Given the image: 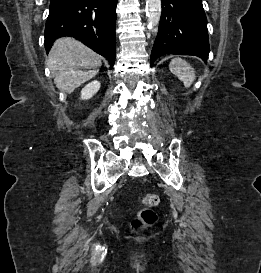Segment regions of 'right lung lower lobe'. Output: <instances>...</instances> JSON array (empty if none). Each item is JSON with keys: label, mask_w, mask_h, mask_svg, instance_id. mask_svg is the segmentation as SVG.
<instances>
[{"label": "right lung lower lobe", "mask_w": 261, "mask_h": 273, "mask_svg": "<svg viewBox=\"0 0 261 273\" xmlns=\"http://www.w3.org/2000/svg\"><path fill=\"white\" fill-rule=\"evenodd\" d=\"M116 5L117 0H51L44 33L46 50L59 37H74L107 58L113 68Z\"/></svg>", "instance_id": "right-lung-lower-lobe-1"}]
</instances>
